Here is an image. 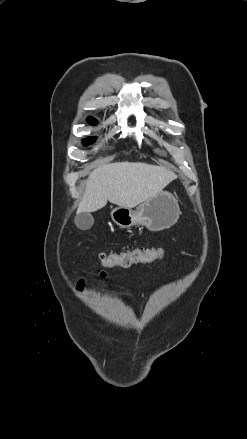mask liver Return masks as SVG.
I'll return each mask as SVG.
<instances>
[{
	"label": "liver",
	"mask_w": 247,
	"mask_h": 439,
	"mask_svg": "<svg viewBox=\"0 0 247 439\" xmlns=\"http://www.w3.org/2000/svg\"><path fill=\"white\" fill-rule=\"evenodd\" d=\"M176 174L164 166L116 162L98 166L88 176L78 213L95 212L107 201L133 208L161 192Z\"/></svg>",
	"instance_id": "6515ba94"
}]
</instances>
